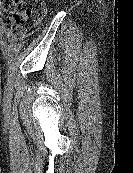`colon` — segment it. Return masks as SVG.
Returning a JSON list of instances; mask_svg holds the SVG:
<instances>
[{
  "mask_svg": "<svg viewBox=\"0 0 133 173\" xmlns=\"http://www.w3.org/2000/svg\"><path fill=\"white\" fill-rule=\"evenodd\" d=\"M2 17L15 38L32 34L45 16L44 0H0Z\"/></svg>",
  "mask_w": 133,
  "mask_h": 173,
  "instance_id": "obj_1",
  "label": "colon"
}]
</instances>
